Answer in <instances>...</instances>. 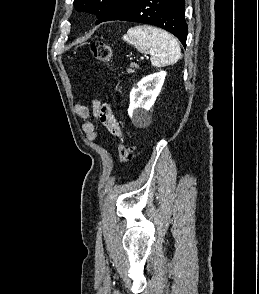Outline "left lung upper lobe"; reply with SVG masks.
<instances>
[{"instance_id":"5c2ea615","label":"left lung upper lobe","mask_w":259,"mask_h":294,"mask_svg":"<svg viewBox=\"0 0 259 294\" xmlns=\"http://www.w3.org/2000/svg\"><path fill=\"white\" fill-rule=\"evenodd\" d=\"M125 0H74V8L80 12L95 14L98 18L96 24L105 20L110 12Z\"/></svg>"}]
</instances>
